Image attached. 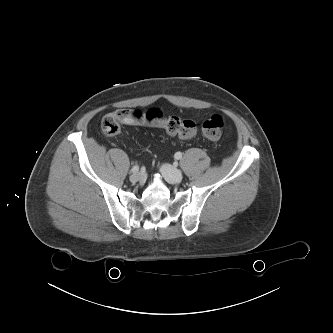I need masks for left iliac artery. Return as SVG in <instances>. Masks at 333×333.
Returning a JSON list of instances; mask_svg holds the SVG:
<instances>
[{"mask_svg": "<svg viewBox=\"0 0 333 333\" xmlns=\"http://www.w3.org/2000/svg\"><path fill=\"white\" fill-rule=\"evenodd\" d=\"M174 156H175V159L179 160V159L182 158V153L181 152H176Z\"/></svg>", "mask_w": 333, "mask_h": 333, "instance_id": "obj_1", "label": "left iliac artery"}]
</instances>
